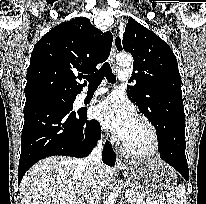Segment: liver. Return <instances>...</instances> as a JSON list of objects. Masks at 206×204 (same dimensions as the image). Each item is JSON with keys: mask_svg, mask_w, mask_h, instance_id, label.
I'll use <instances>...</instances> for the list:
<instances>
[{"mask_svg": "<svg viewBox=\"0 0 206 204\" xmlns=\"http://www.w3.org/2000/svg\"><path fill=\"white\" fill-rule=\"evenodd\" d=\"M114 169L103 165L101 185L113 180ZM87 169L83 159L52 156L31 167L20 183L21 204H84Z\"/></svg>", "mask_w": 206, "mask_h": 204, "instance_id": "1", "label": "liver"}]
</instances>
